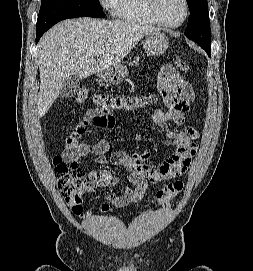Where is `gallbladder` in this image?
I'll use <instances>...</instances> for the list:
<instances>
[{
    "label": "gallbladder",
    "mask_w": 253,
    "mask_h": 271,
    "mask_svg": "<svg viewBox=\"0 0 253 271\" xmlns=\"http://www.w3.org/2000/svg\"><path fill=\"white\" fill-rule=\"evenodd\" d=\"M79 88V81L75 78H68L63 83V86L60 90V96L63 99H68L76 95Z\"/></svg>",
    "instance_id": "bac80fb5"
}]
</instances>
